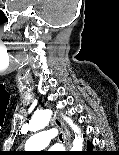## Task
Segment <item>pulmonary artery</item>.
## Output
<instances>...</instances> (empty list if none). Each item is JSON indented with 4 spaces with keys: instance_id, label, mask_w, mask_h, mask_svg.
I'll return each mask as SVG.
<instances>
[{
    "instance_id": "1",
    "label": "pulmonary artery",
    "mask_w": 119,
    "mask_h": 155,
    "mask_svg": "<svg viewBox=\"0 0 119 155\" xmlns=\"http://www.w3.org/2000/svg\"><path fill=\"white\" fill-rule=\"evenodd\" d=\"M56 135L57 132L54 129L37 132L26 141L25 148L31 151L44 149Z\"/></svg>"
}]
</instances>
